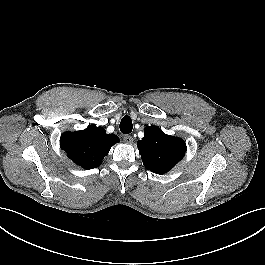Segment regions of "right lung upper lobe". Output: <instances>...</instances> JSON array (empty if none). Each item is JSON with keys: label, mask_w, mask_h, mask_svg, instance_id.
Masks as SVG:
<instances>
[{"label": "right lung upper lobe", "mask_w": 265, "mask_h": 265, "mask_svg": "<svg viewBox=\"0 0 265 265\" xmlns=\"http://www.w3.org/2000/svg\"><path fill=\"white\" fill-rule=\"evenodd\" d=\"M119 142L115 134H106L103 127L89 125L86 129L64 132L60 138L61 148L77 165L85 169L101 165L110 148Z\"/></svg>", "instance_id": "obj_1"}]
</instances>
